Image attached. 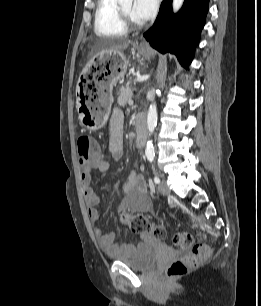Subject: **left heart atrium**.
Listing matches in <instances>:
<instances>
[{
    "instance_id": "39dd6f15",
    "label": "left heart atrium",
    "mask_w": 261,
    "mask_h": 306,
    "mask_svg": "<svg viewBox=\"0 0 261 306\" xmlns=\"http://www.w3.org/2000/svg\"><path fill=\"white\" fill-rule=\"evenodd\" d=\"M159 0H134L133 13L141 22L153 17L158 8Z\"/></svg>"
}]
</instances>
